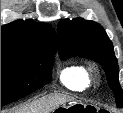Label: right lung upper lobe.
Here are the masks:
<instances>
[{"mask_svg": "<svg viewBox=\"0 0 123 113\" xmlns=\"http://www.w3.org/2000/svg\"><path fill=\"white\" fill-rule=\"evenodd\" d=\"M48 24L18 20L1 27V45L44 44L56 51V34Z\"/></svg>", "mask_w": 123, "mask_h": 113, "instance_id": "cb5924a9", "label": "right lung upper lobe"}]
</instances>
